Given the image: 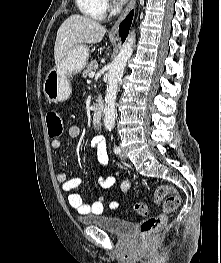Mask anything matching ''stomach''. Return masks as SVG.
Wrapping results in <instances>:
<instances>
[{
  "mask_svg": "<svg viewBox=\"0 0 221 263\" xmlns=\"http://www.w3.org/2000/svg\"><path fill=\"white\" fill-rule=\"evenodd\" d=\"M88 58L89 48L85 45H76L67 52L44 80L43 92L48 100L61 102L70 97L72 88L69 77L80 72L86 66Z\"/></svg>",
  "mask_w": 221,
  "mask_h": 263,
  "instance_id": "1",
  "label": "stomach"
}]
</instances>
